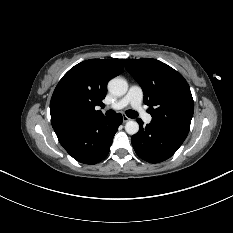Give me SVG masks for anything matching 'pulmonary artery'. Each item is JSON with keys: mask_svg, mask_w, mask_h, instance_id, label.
<instances>
[{"mask_svg": "<svg viewBox=\"0 0 233 233\" xmlns=\"http://www.w3.org/2000/svg\"><path fill=\"white\" fill-rule=\"evenodd\" d=\"M143 91L140 86L132 85L128 93L120 100L107 106V109L119 110L130 105L132 106L143 118L146 123L152 121V117L147 114L142 107Z\"/></svg>", "mask_w": 233, "mask_h": 233, "instance_id": "1", "label": "pulmonary artery"}]
</instances>
